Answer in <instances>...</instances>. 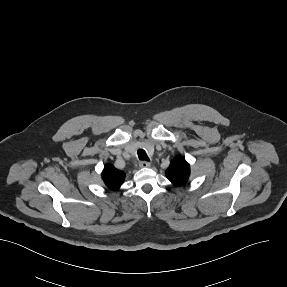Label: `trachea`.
I'll list each match as a JSON object with an SVG mask.
<instances>
[{
	"label": "trachea",
	"instance_id": "obj_1",
	"mask_svg": "<svg viewBox=\"0 0 287 287\" xmlns=\"http://www.w3.org/2000/svg\"><path fill=\"white\" fill-rule=\"evenodd\" d=\"M137 154H138L139 160H142V161H149L150 160L146 151L143 149H139L137 151Z\"/></svg>",
	"mask_w": 287,
	"mask_h": 287
}]
</instances>
